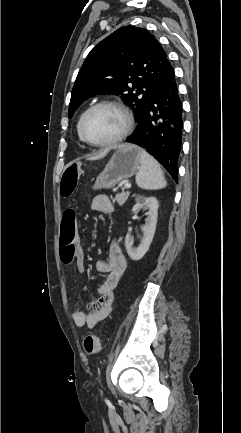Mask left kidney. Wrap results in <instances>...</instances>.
<instances>
[{
	"label": "left kidney",
	"instance_id": "5707ae66",
	"mask_svg": "<svg viewBox=\"0 0 241 433\" xmlns=\"http://www.w3.org/2000/svg\"><path fill=\"white\" fill-rule=\"evenodd\" d=\"M158 207V201L154 197L146 198L143 196H138L136 198V204L134 205L132 212L136 213L141 209H148V212L146 213V223L142 227L143 238L140 245L134 248L131 235L127 234L125 237V247L127 253L129 257L134 261L142 259L150 247L156 229Z\"/></svg>",
	"mask_w": 241,
	"mask_h": 433
}]
</instances>
